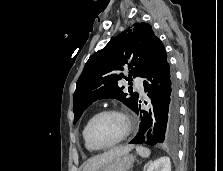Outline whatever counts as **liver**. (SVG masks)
Segmentation results:
<instances>
[{
	"label": "liver",
	"instance_id": "6515ba94",
	"mask_svg": "<svg viewBox=\"0 0 223 171\" xmlns=\"http://www.w3.org/2000/svg\"><path fill=\"white\" fill-rule=\"evenodd\" d=\"M132 149V145L119 146L101 155L92 157L84 164L83 171H98L101 167L111 162L115 157L122 154H128Z\"/></svg>",
	"mask_w": 223,
	"mask_h": 171
}]
</instances>
